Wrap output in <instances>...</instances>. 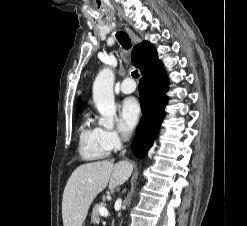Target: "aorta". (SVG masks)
Masks as SVG:
<instances>
[{
    "mask_svg": "<svg viewBox=\"0 0 247 226\" xmlns=\"http://www.w3.org/2000/svg\"><path fill=\"white\" fill-rule=\"evenodd\" d=\"M114 73L110 68L101 70L93 84V100L101 114L99 124L112 128L116 117V106L113 93Z\"/></svg>",
    "mask_w": 247,
    "mask_h": 226,
    "instance_id": "obj_1",
    "label": "aorta"
}]
</instances>
